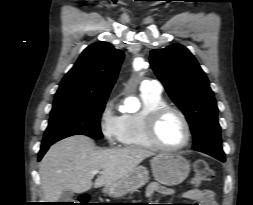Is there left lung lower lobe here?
Here are the masks:
<instances>
[{
    "label": "left lung lower lobe",
    "instance_id": "1",
    "mask_svg": "<svg viewBox=\"0 0 253 205\" xmlns=\"http://www.w3.org/2000/svg\"><path fill=\"white\" fill-rule=\"evenodd\" d=\"M217 158L218 160L222 161V162H225V158H221V157H215Z\"/></svg>",
    "mask_w": 253,
    "mask_h": 205
}]
</instances>
